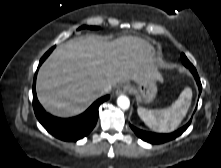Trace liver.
<instances>
[{"instance_id": "1", "label": "liver", "mask_w": 221, "mask_h": 168, "mask_svg": "<svg viewBox=\"0 0 221 168\" xmlns=\"http://www.w3.org/2000/svg\"><path fill=\"white\" fill-rule=\"evenodd\" d=\"M154 55L147 41L134 36L110 42L94 35L71 39L41 66L38 99L55 116L78 115L102 95L103 88L131 80L139 84L158 75Z\"/></svg>"}]
</instances>
